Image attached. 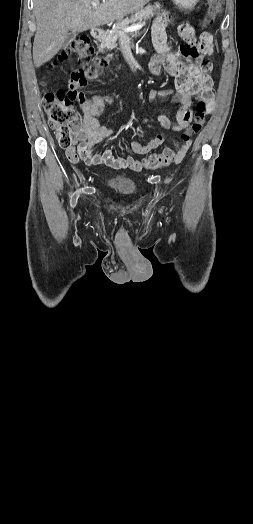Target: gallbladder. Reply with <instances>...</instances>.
I'll list each match as a JSON object with an SVG mask.
<instances>
[{
  "instance_id": "gallbladder-1",
  "label": "gallbladder",
  "mask_w": 253,
  "mask_h": 524,
  "mask_svg": "<svg viewBox=\"0 0 253 524\" xmlns=\"http://www.w3.org/2000/svg\"><path fill=\"white\" fill-rule=\"evenodd\" d=\"M76 37V33L72 32V33H69L68 37L66 38L64 44H63V49H66L68 47V45L70 44V42L72 40H74V38Z\"/></svg>"
}]
</instances>
